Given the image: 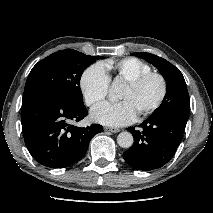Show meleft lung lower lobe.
I'll return each mask as SVG.
<instances>
[{
  "label": "left lung lower lobe",
  "mask_w": 213,
  "mask_h": 213,
  "mask_svg": "<svg viewBox=\"0 0 213 213\" xmlns=\"http://www.w3.org/2000/svg\"><path fill=\"white\" fill-rule=\"evenodd\" d=\"M188 118L177 114H164L147 118L136 130H128L134 137L132 147L123 153L124 160L134 169L149 171L169 162L177 150Z\"/></svg>",
  "instance_id": "1"
}]
</instances>
